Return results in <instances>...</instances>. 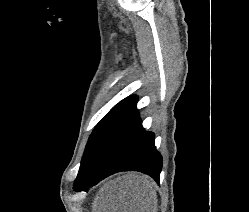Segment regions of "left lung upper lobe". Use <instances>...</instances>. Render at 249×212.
Masks as SVG:
<instances>
[{"label":"left lung upper lobe","mask_w":249,"mask_h":212,"mask_svg":"<svg viewBox=\"0 0 249 212\" xmlns=\"http://www.w3.org/2000/svg\"><path fill=\"white\" fill-rule=\"evenodd\" d=\"M137 100L138 98L136 96H129L123 99L118 104H116L109 111V113L105 117H103V119L97 124L88 139L77 177L82 173V171L88 164L91 156L96 150V147L98 146L104 135L107 133V131L125 112H127L132 106L137 103Z\"/></svg>","instance_id":"1"}]
</instances>
